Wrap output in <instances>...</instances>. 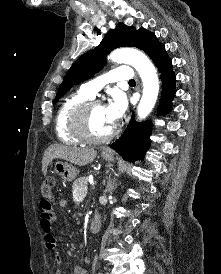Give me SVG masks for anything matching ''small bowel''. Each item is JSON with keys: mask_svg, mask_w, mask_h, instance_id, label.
<instances>
[{"mask_svg": "<svg viewBox=\"0 0 221 274\" xmlns=\"http://www.w3.org/2000/svg\"><path fill=\"white\" fill-rule=\"evenodd\" d=\"M59 207H65L67 202L65 200H59L57 202ZM40 212V227L44 234L45 247L53 252L54 259L57 265L61 263V255L57 248V241L53 234V224L56 220V215L53 212L52 205L46 200H42L39 205ZM55 274H62L60 269H57ZM72 274H88L82 266H75L72 270Z\"/></svg>", "mask_w": 221, "mask_h": 274, "instance_id": "obj_1", "label": "small bowel"}]
</instances>
